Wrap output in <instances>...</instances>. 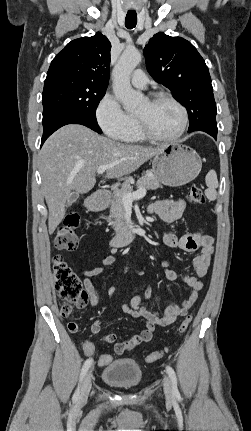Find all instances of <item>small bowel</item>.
Masks as SVG:
<instances>
[{
    "mask_svg": "<svg viewBox=\"0 0 251 431\" xmlns=\"http://www.w3.org/2000/svg\"><path fill=\"white\" fill-rule=\"evenodd\" d=\"M185 208L186 204L183 199H166L158 200L151 204L149 212L157 215L161 220L171 223L182 217ZM162 242L170 248H179L186 252H199L192 262L194 275H185L182 277L183 283L190 289L189 295L181 305L170 304L163 311H157L150 306L152 298L151 286L145 283L135 285L133 287L134 290L144 288L145 294L143 296H134L129 303L126 300H123L122 310L131 317L143 318L145 320V329L139 334H135L130 338L119 342L117 341V334L110 333L105 335L103 337V341L110 344L114 343V350L117 354L129 352L138 345L149 342L157 327L167 326L173 323L177 317L185 316L197 300L198 292L203 286L202 278L207 273L214 251L213 238L200 231L186 233L181 236L165 232L162 234ZM115 259V255L111 254L102 260L100 266L83 271V285L88 295L90 306H96L99 303L100 297V291L98 285L94 282V279L105 273L114 263ZM161 266L169 281H176L179 279V275L169 267V263L167 261H163ZM90 329L93 335H98L101 331V320L95 319L92 322ZM70 331L76 332L77 328Z\"/></svg>",
    "mask_w": 251,
    "mask_h": 431,
    "instance_id": "1",
    "label": "small bowel"
}]
</instances>
